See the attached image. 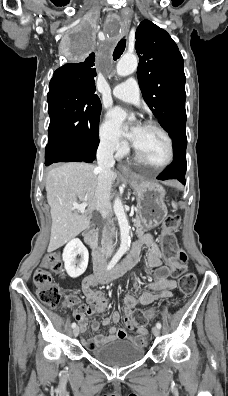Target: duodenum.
I'll return each instance as SVG.
<instances>
[{"label": "duodenum", "instance_id": "1", "mask_svg": "<svg viewBox=\"0 0 228 396\" xmlns=\"http://www.w3.org/2000/svg\"><path fill=\"white\" fill-rule=\"evenodd\" d=\"M85 239L92 249L96 273L101 274L103 269V252L98 244L97 232L95 230L90 231L86 234ZM135 261L136 260L134 258L122 260L113 270L105 274L104 280L109 282L120 277L135 263Z\"/></svg>", "mask_w": 228, "mask_h": 396}]
</instances>
